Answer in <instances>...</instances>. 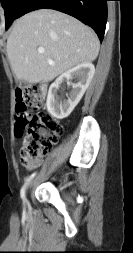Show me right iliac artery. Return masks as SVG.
Instances as JSON below:
<instances>
[{"label":"right iliac artery","instance_id":"82829eb1","mask_svg":"<svg viewBox=\"0 0 133 253\" xmlns=\"http://www.w3.org/2000/svg\"><path fill=\"white\" fill-rule=\"evenodd\" d=\"M36 174H37V172H34L28 178H26L25 183H24V185L21 188V192L20 193H21V198H22L24 204L27 203V200H26V197H25L26 187L29 184V182L36 176Z\"/></svg>","mask_w":133,"mask_h":253}]
</instances>
